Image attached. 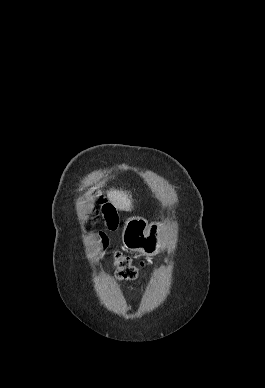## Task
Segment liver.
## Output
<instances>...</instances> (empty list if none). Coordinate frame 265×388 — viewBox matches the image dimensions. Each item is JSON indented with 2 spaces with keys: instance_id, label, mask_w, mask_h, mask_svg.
I'll list each match as a JSON object with an SVG mask.
<instances>
[{
  "instance_id": "obj_1",
  "label": "liver",
  "mask_w": 265,
  "mask_h": 388,
  "mask_svg": "<svg viewBox=\"0 0 265 388\" xmlns=\"http://www.w3.org/2000/svg\"><path fill=\"white\" fill-rule=\"evenodd\" d=\"M107 198L115 208L118 210H125V212H131L132 206V196H129L127 192H119V190H111L107 192Z\"/></svg>"
}]
</instances>
